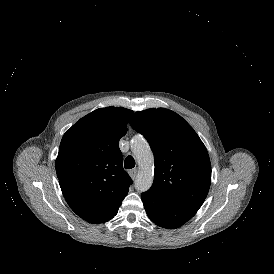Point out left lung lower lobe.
I'll use <instances>...</instances> for the list:
<instances>
[{
    "label": "left lung lower lobe",
    "instance_id": "0a47b994",
    "mask_svg": "<svg viewBox=\"0 0 274 274\" xmlns=\"http://www.w3.org/2000/svg\"><path fill=\"white\" fill-rule=\"evenodd\" d=\"M141 198L148 217L163 228H177L197 212V209L171 202L150 190L142 193Z\"/></svg>",
    "mask_w": 274,
    "mask_h": 274
}]
</instances>
